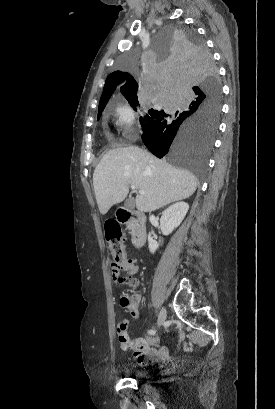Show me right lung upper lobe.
Listing matches in <instances>:
<instances>
[{
  "instance_id": "1",
  "label": "right lung upper lobe",
  "mask_w": 275,
  "mask_h": 409,
  "mask_svg": "<svg viewBox=\"0 0 275 409\" xmlns=\"http://www.w3.org/2000/svg\"><path fill=\"white\" fill-rule=\"evenodd\" d=\"M121 84L120 91L126 98L137 97L138 84L129 73H111L105 82L103 93L100 99L98 112L103 110L109 98L116 89L117 85Z\"/></svg>"
}]
</instances>
